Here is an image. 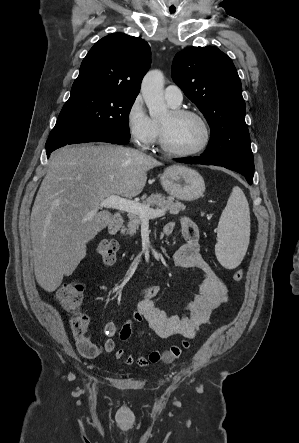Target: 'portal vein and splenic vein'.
Instances as JSON below:
<instances>
[{"instance_id":"obj_1","label":"portal vein and splenic vein","mask_w":299,"mask_h":443,"mask_svg":"<svg viewBox=\"0 0 299 443\" xmlns=\"http://www.w3.org/2000/svg\"><path fill=\"white\" fill-rule=\"evenodd\" d=\"M100 206L104 208L116 209L127 213L137 214L142 218L143 221L159 218L165 215L164 210H154L148 206L142 205L139 202L131 201L118 195H110L101 202Z\"/></svg>"}]
</instances>
